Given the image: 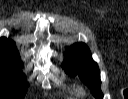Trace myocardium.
<instances>
[{"label": "myocardium", "instance_id": "f54148a6", "mask_svg": "<svg viewBox=\"0 0 128 99\" xmlns=\"http://www.w3.org/2000/svg\"><path fill=\"white\" fill-rule=\"evenodd\" d=\"M79 92H80V93H83V92H82V89H79Z\"/></svg>", "mask_w": 128, "mask_h": 99}]
</instances>
